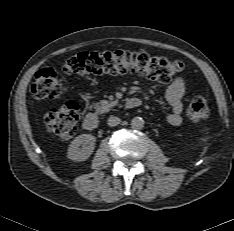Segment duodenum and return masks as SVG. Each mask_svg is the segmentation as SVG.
Listing matches in <instances>:
<instances>
[{
	"label": "duodenum",
	"instance_id": "duodenum-1",
	"mask_svg": "<svg viewBox=\"0 0 234 231\" xmlns=\"http://www.w3.org/2000/svg\"><path fill=\"white\" fill-rule=\"evenodd\" d=\"M141 100L137 97H131L126 101V106L130 109L141 105ZM83 126L86 130H94L99 126V118L95 113H88L84 117Z\"/></svg>",
	"mask_w": 234,
	"mask_h": 231
}]
</instances>
